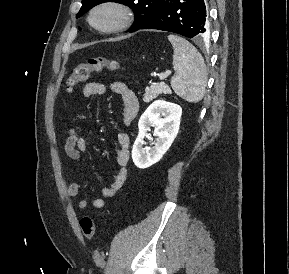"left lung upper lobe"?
Here are the masks:
<instances>
[{
  "label": "left lung upper lobe",
  "instance_id": "1",
  "mask_svg": "<svg viewBox=\"0 0 289 274\" xmlns=\"http://www.w3.org/2000/svg\"><path fill=\"white\" fill-rule=\"evenodd\" d=\"M106 1L120 2L132 8L135 14V22L130 28V32H132L147 22L165 0H82V7L76 17L82 16L92 7Z\"/></svg>",
  "mask_w": 289,
  "mask_h": 274
}]
</instances>
